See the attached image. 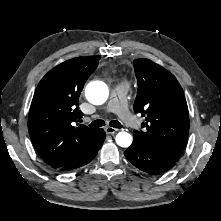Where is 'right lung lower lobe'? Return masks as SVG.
<instances>
[{
  "instance_id": "98d812e1",
  "label": "right lung lower lobe",
  "mask_w": 221,
  "mask_h": 221,
  "mask_svg": "<svg viewBox=\"0 0 221 221\" xmlns=\"http://www.w3.org/2000/svg\"><path fill=\"white\" fill-rule=\"evenodd\" d=\"M105 137H106L105 131L103 129H99V134H98L96 143H95L94 147L91 149V152L79 157L76 160L71 161L67 165L59 168L58 170L59 171H71V170L77 169L79 167H82V166L88 164L97 155V152L101 148V146L105 140Z\"/></svg>"
}]
</instances>
